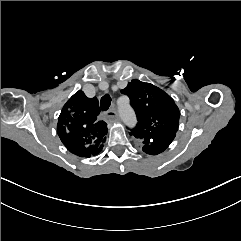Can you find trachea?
Returning <instances> with one entry per match:
<instances>
[{"label":"trachea","instance_id":"obj_1","mask_svg":"<svg viewBox=\"0 0 241 241\" xmlns=\"http://www.w3.org/2000/svg\"><path fill=\"white\" fill-rule=\"evenodd\" d=\"M111 105V97L109 94H105L100 101V107L103 111L108 110Z\"/></svg>","mask_w":241,"mask_h":241}]
</instances>
